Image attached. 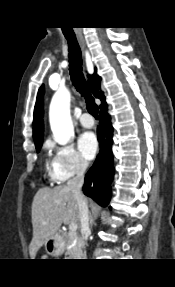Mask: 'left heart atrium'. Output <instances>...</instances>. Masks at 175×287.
Here are the masks:
<instances>
[{
	"label": "left heart atrium",
	"mask_w": 175,
	"mask_h": 287,
	"mask_svg": "<svg viewBox=\"0 0 175 287\" xmlns=\"http://www.w3.org/2000/svg\"><path fill=\"white\" fill-rule=\"evenodd\" d=\"M81 154L88 160L92 159L98 149V141L93 132H84L78 139Z\"/></svg>",
	"instance_id": "39dd6f15"
}]
</instances>
